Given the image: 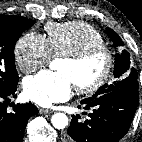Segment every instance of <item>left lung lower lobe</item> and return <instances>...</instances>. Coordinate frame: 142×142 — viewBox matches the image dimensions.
I'll use <instances>...</instances> for the list:
<instances>
[{
    "label": "left lung lower lobe",
    "mask_w": 142,
    "mask_h": 142,
    "mask_svg": "<svg viewBox=\"0 0 142 142\" xmlns=\"http://www.w3.org/2000/svg\"><path fill=\"white\" fill-rule=\"evenodd\" d=\"M138 88L135 85L127 86L96 98L82 100L81 104L86 105L85 109H91L92 112L83 122L72 116L64 141H119L132 123L139 101Z\"/></svg>",
    "instance_id": "left-lung-lower-lobe-1"
}]
</instances>
